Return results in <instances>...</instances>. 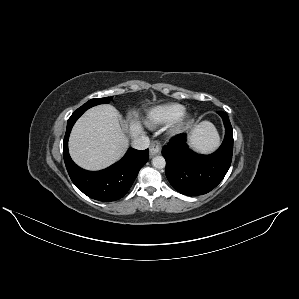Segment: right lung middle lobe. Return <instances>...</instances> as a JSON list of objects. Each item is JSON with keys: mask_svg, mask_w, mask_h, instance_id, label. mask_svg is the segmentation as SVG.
Masks as SVG:
<instances>
[{"mask_svg": "<svg viewBox=\"0 0 299 299\" xmlns=\"http://www.w3.org/2000/svg\"><path fill=\"white\" fill-rule=\"evenodd\" d=\"M111 99L112 97L91 99L88 102H86L84 105H82L80 108H78V110L86 111L87 109L95 105L108 103Z\"/></svg>", "mask_w": 299, "mask_h": 299, "instance_id": "obj_1", "label": "right lung middle lobe"}]
</instances>
